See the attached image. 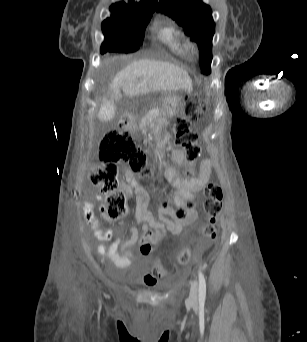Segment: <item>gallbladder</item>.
<instances>
[{"label":"gallbladder","instance_id":"1","mask_svg":"<svg viewBox=\"0 0 307 342\" xmlns=\"http://www.w3.org/2000/svg\"><path fill=\"white\" fill-rule=\"evenodd\" d=\"M107 99L110 102H119L121 97L119 95H110ZM99 107L101 109L98 113L99 118H111L117 105L115 103H101Z\"/></svg>","mask_w":307,"mask_h":342}]
</instances>
